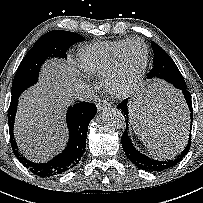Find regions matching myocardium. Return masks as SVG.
<instances>
[{"label":"myocardium","mask_w":203,"mask_h":203,"mask_svg":"<svg viewBox=\"0 0 203 203\" xmlns=\"http://www.w3.org/2000/svg\"><path fill=\"white\" fill-rule=\"evenodd\" d=\"M134 43H139L143 46L144 53H145L144 60L140 68L136 72V74L133 76V78L130 79L128 82L124 83L121 77L122 67L124 64V60H125V56L128 48ZM148 61H149V50L147 45L138 38L130 39L125 44V46L119 53L116 61L114 62V64L112 65V67L104 77V85L108 90V92L114 97L120 98V99H124L131 96L139 86L145 74V71L148 66Z\"/></svg>","instance_id":"myocardium-1"}]
</instances>
